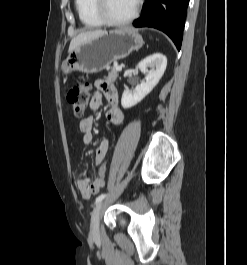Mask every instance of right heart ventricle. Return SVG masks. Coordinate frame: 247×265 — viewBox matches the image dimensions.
Returning a JSON list of instances; mask_svg holds the SVG:
<instances>
[{
    "label": "right heart ventricle",
    "mask_w": 247,
    "mask_h": 265,
    "mask_svg": "<svg viewBox=\"0 0 247 265\" xmlns=\"http://www.w3.org/2000/svg\"><path fill=\"white\" fill-rule=\"evenodd\" d=\"M75 7L81 22L86 27L95 28L104 24L94 10V0H75Z\"/></svg>",
    "instance_id": "e07e8e85"
}]
</instances>
